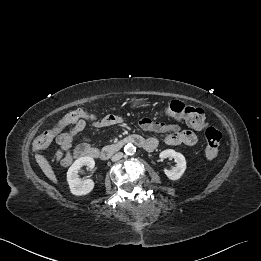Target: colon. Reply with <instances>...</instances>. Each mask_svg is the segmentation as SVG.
I'll return each instance as SVG.
<instances>
[{
  "label": "colon",
  "instance_id": "obj_1",
  "mask_svg": "<svg viewBox=\"0 0 261 261\" xmlns=\"http://www.w3.org/2000/svg\"><path fill=\"white\" fill-rule=\"evenodd\" d=\"M164 113L171 118L185 121L190 127L196 130L205 129V157L209 161L217 157L222 136L219 130L207 126L206 117L201 108L173 100L166 106ZM94 117L92 113L82 109L70 111L63 117L61 127L54 131L48 130L39 135L34 140L33 148L41 150L53 142L59 144L71 143L73 137L83 129L84 120H92ZM66 126H71V128L69 131L63 132Z\"/></svg>",
  "mask_w": 261,
  "mask_h": 261
}]
</instances>
